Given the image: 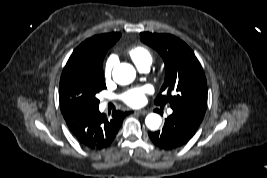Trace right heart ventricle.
<instances>
[{
    "instance_id": "obj_1",
    "label": "right heart ventricle",
    "mask_w": 267,
    "mask_h": 178,
    "mask_svg": "<svg viewBox=\"0 0 267 178\" xmlns=\"http://www.w3.org/2000/svg\"><path fill=\"white\" fill-rule=\"evenodd\" d=\"M129 56L137 67H140L144 64H151L152 62L151 53L143 46L133 47L129 51Z\"/></svg>"
}]
</instances>
